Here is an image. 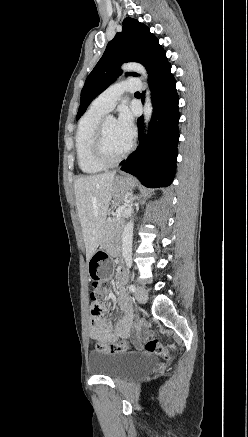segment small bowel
Returning <instances> with one entry per match:
<instances>
[{
	"label": "small bowel",
	"mask_w": 248,
	"mask_h": 437,
	"mask_svg": "<svg viewBox=\"0 0 248 437\" xmlns=\"http://www.w3.org/2000/svg\"><path fill=\"white\" fill-rule=\"evenodd\" d=\"M126 281V273L124 271L120 272L117 280V301L125 313L114 325L104 315L105 307L102 303L96 302L91 305L89 336L92 340L100 343H113L119 338H127L130 336L131 301L123 291V286ZM143 331V327H138L135 331V335L138 336Z\"/></svg>",
	"instance_id": "c3829d8e"
}]
</instances>
